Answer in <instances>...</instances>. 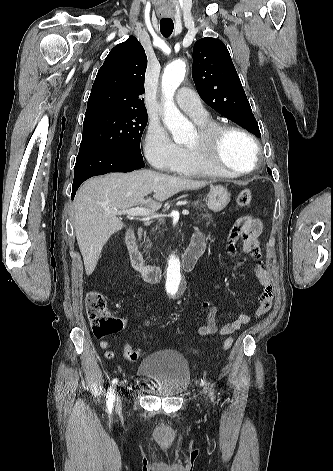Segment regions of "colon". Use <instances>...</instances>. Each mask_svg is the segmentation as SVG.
<instances>
[{
	"instance_id": "1",
	"label": "colon",
	"mask_w": 333,
	"mask_h": 471,
	"mask_svg": "<svg viewBox=\"0 0 333 471\" xmlns=\"http://www.w3.org/2000/svg\"><path fill=\"white\" fill-rule=\"evenodd\" d=\"M252 195L249 189L242 190L237 197V204L246 207L250 204ZM86 314L94 335L102 338L117 333L124 328V320L110 313L103 294L97 291L89 292L85 299ZM233 344V338L228 337L222 346V351H227ZM123 355L127 360L135 361L140 357V351L130 344L123 347Z\"/></svg>"
}]
</instances>
